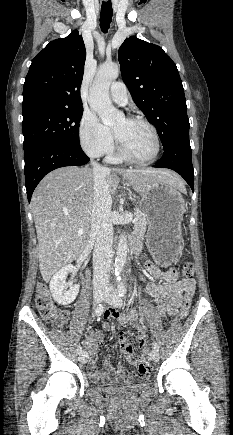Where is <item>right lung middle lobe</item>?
Here are the masks:
<instances>
[{
    "mask_svg": "<svg viewBox=\"0 0 233 435\" xmlns=\"http://www.w3.org/2000/svg\"><path fill=\"white\" fill-rule=\"evenodd\" d=\"M82 114L83 108H53L23 116L24 150L44 142L80 147L79 123Z\"/></svg>",
    "mask_w": 233,
    "mask_h": 435,
    "instance_id": "1",
    "label": "right lung middle lobe"
}]
</instances>
